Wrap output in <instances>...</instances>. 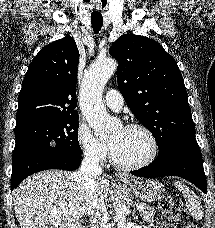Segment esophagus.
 Wrapping results in <instances>:
<instances>
[{"label": "esophagus", "mask_w": 215, "mask_h": 228, "mask_svg": "<svg viewBox=\"0 0 215 228\" xmlns=\"http://www.w3.org/2000/svg\"><path fill=\"white\" fill-rule=\"evenodd\" d=\"M116 176L119 177V176H122V174L121 173H117Z\"/></svg>", "instance_id": "esophagus-1"}]
</instances>
